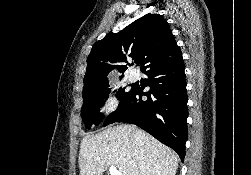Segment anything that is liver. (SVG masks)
<instances>
[{
	"instance_id": "1",
	"label": "liver",
	"mask_w": 251,
	"mask_h": 175,
	"mask_svg": "<svg viewBox=\"0 0 251 175\" xmlns=\"http://www.w3.org/2000/svg\"><path fill=\"white\" fill-rule=\"evenodd\" d=\"M178 155L135 125H116L80 143V175H102L110 165L122 175H175Z\"/></svg>"
}]
</instances>
